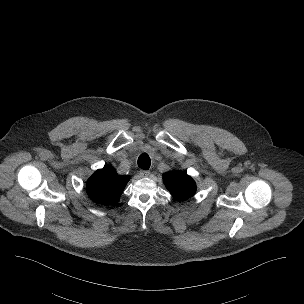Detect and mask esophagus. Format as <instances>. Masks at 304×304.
Here are the masks:
<instances>
[{
  "label": "esophagus",
  "mask_w": 304,
  "mask_h": 304,
  "mask_svg": "<svg viewBox=\"0 0 304 304\" xmlns=\"http://www.w3.org/2000/svg\"><path fill=\"white\" fill-rule=\"evenodd\" d=\"M139 174H140L141 177H147V176H149L150 171H148V170H141L139 172Z\"/></svg>",
  "instance_id": "obj_1"
}]
</instances>
